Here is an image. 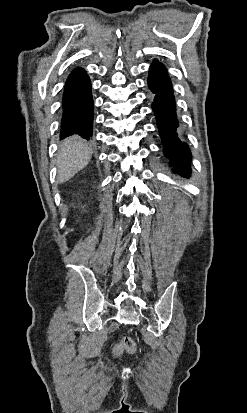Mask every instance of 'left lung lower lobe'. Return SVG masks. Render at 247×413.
Listing matches in <instances>:
<instances>
[{
	"instance_id": "left-lung-lower-lobe-1",
	"label": "left lung lower lobe",
	"mask_w": 247,
	"mask_h": 413,
	"mask_svg": "<svg viewBox=\"0 0 247 413\" xmlns=\"http://www.w3.org/2000/svg\"><path fill=\"white\" fill-rule=\"evenodd\" d=\"M148 86L155 94L152 109L157 119L164 154L170 159L173 171L182 177L190 176L191 153L186 142L178 137L179 123L176 118L172 84L164 65L158 61L151 64Z\"/></svg>"
}]
</instances>
